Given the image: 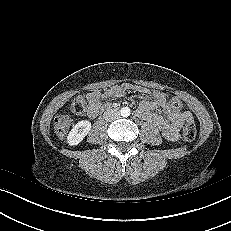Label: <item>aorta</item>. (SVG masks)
<instances>
[{
	"label": "aorta",
	"mask_w": 231,
	"mask_h": 231,
	"mask_svg": "<svg viewBox=\"0 0 231 231\" xmlns=\"http://www.w3.org/2000/svg\"><path fill=\"white\" fill-rule=\"evenodd\" d=\"M130 113H131V111H130V108H128V107H123L121 109V115L123 117H128L130 115Z\"/></svg>",
	"instance_id": "obj_1"
}]
</instances>
